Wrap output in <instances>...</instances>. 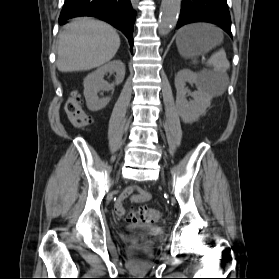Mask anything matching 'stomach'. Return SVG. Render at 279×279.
<instances>
[{
  "label": "stomach",
  "mask_w": 279,
  "mask_h": 279,
  "mask_svg": "<svg viewBox=\"0 0 279 279\" xmlns=\"http://www.w3.org/2000/svg\"><path fill=\"white\" fill-rule=\"evenodd\" d=\"M223 40L222 33L208 24H192L182 28L176 38L180 55L189 58L206 53Z\"/></svg>",
  "instance_id": "0dacf381"
}]
</instances>
